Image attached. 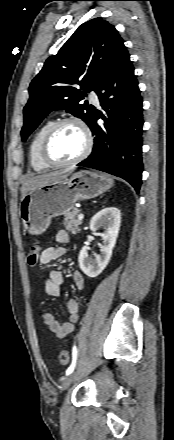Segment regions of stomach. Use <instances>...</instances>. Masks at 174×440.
I'll return each mask as SVG.
<instances>
[{"instance_id": "obj_1", "label": "stomach", "mask_w": 174, "mask_h": 440, "mask_svg": "<svg viewBox=\"0 0 174 440\" xmlns=\"http://www.w3.org/2000/svg\"><path fill=\"white\" fill-rule=\"evenodd\" d=\"M113 186L107 175L82 170L31 190L20 203L24 229L32 235L46 231L53 217L65 215L76 202L94 198Z\"/></svg>"}]
</instances>
